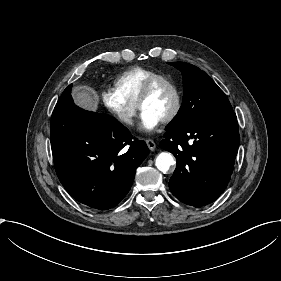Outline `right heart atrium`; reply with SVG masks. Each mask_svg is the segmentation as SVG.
<instances>
[{
  "instance_id": "obj_1",
  "label": "right heart atrium",
  "mask_w": 281,
  "mask_h": 281,
  "mask_svg": "<svg viewBox=\"0 0 281 281\" xmlns=\"http://www.w3.org/2000/svg\"><path fill=\"white\" fill-rule=\"evenodd\" d=\"M101 99L106 108L123 125L134 126L137 120V106L120 96L114 88H106L101 92Z\"/></svg>"
}]
</instances>
